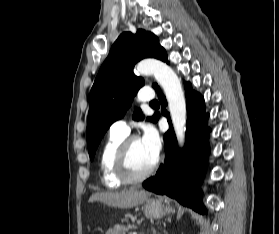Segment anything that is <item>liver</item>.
Masks as SVG:
<instances>
[{"mask_svg": "<svg viewBox=\"0 0 279 234\" xmlns=\"http://www.w3.org/2000/svg\"><path fill=\"white\" fill-rule=\"evenodd\" d=\"M150 193L147 191H138L134 189L121 192H102L94 193L89 202L99 201L111 207L132 208L146 201Z\"/></svg>", "mask_w": 279, "mask_h": 234, "instance_id": "obj_1", "label": "liver"}]
</instances>
